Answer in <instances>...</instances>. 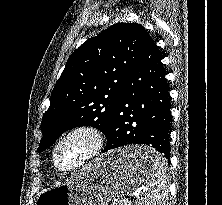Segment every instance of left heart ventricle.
Here are the masks:
<instances>
[{"label":"left heart ventricle","mask_w":222,"mask_h":205,"mask_svg":"<svg viewBox=\"0 0 222 205\" xmlns=\"http://www.w3.org/2000/svg\"><path fill=\"white\" fill-rule=\"evenodd\" d=\"M92 140L89 136L78 134L63 142L57 151V161L62 167L77 163L90 149Z\"/></svg>","instance_id":"1"}]
</instances>
